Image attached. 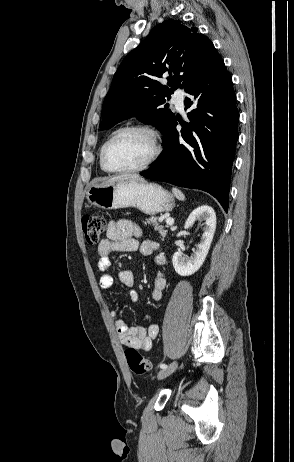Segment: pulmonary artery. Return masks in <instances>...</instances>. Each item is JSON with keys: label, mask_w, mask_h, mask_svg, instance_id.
<instances>
[{"label": "pulmonary artery", "mask_w": 294, "mask_h": 462, "mask_svg": "<svg viewBox=\"0 0 294 462\" xmlns=\"http://www.w3.org/2000/svg\"><path fill=\"white\" fill-rule=\"evenodd\" d=\"M172 103L175 104L179 111L184 109L185 92L182 89H176L172 95Z\"/></svg>", "instance_id": "1"}]
</instances>
